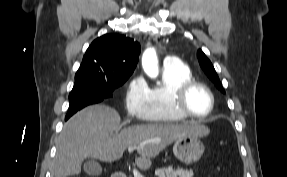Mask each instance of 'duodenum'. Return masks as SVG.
I'll use <instances>...</instances> for the list:
<instances>
[{"label":"duodenum","instance_id":"410a0bca","mask_svg":"<svg viewBox=\"0 0 287 177\" xmlns=\"http://www.w3.org/2000/svg\"><path fill=\"white\" fill-rule=\"evenodd\" d=\"M111 177H126V176L121 172H116Z\"/></svg>","mask_w":287,"mask_h":177}]
</instances>
